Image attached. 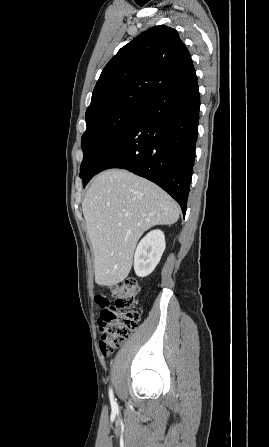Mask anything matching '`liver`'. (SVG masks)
<instances>
[{
	"instance_id": "liver-1",
	"label": "liver",
	"mask_w": 269,
	"mask_h": 447,
	"mask_svg": "<svg viewBox=\"0 0 269 447\" xmlns=\"http://www.w3.org/2000/svg\"><path fill=\"white\" fill-rule=\"evenodd\" d=\"M82 212L98 285L123 281L142 233L152 225L175 224L179 218V208L171 196L126 170L98 174L85 194Z\"/></svg>"
}]
</instances>
